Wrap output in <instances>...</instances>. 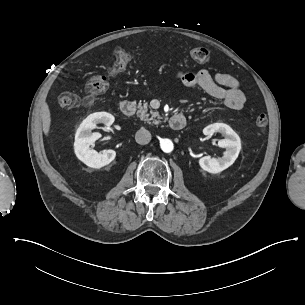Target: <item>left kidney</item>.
<instances>
[{"label": "left kidney", "mask_w": 305, "mask_h": 305, "mask_svg": "<svg viewBox=\"0 0 305 305\" xmlns=\"http://www.w3.org/2000/svg\"><path fill=\"white\" fill-rule=\"evenodd\" d=\"M214 133H221L225 137L218 141V146L226 148V151L220 158L204 156L199 160L201 168L209 173H219L231 166L241 150L240 137L229 125L213 123L203 129L204 135L212 136Z\"/></svg>", "instance_id": "obj_1"}]
</instances>
